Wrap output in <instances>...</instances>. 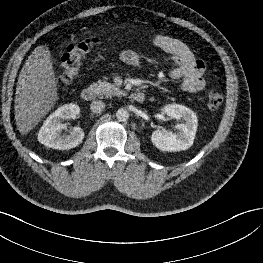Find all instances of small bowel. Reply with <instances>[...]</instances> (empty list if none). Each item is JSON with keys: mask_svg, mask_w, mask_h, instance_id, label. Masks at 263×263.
I'll list each match as a JSON object with an SVG mask.
<instances>
[{"mask_svg": "<svg viewBox=\"0 0 263 263\" xmlns=\"http://www.w3.org/2000/svg\"><path fill=\"white\" fill-rule=\"evenodd\" d=\"M151 42L156 47L170 54L176 63V67L167 73L168 78L172 80L182 79V89L186 92L195 93L204 88V62L195 56L184 41L167 35L157 34L151 38ZM120 59L130 66L137 67L141 64V57L134 50L122 51Z\"/></svg>", "mask_w": 263, "mask_h": 263, "instance_id": "small-bowel-1", "label": "small bowel"}]
</instances>
